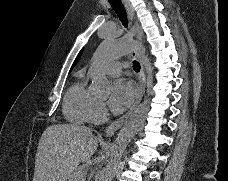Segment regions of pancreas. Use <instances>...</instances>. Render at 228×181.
Returning <instances> with one entry per match:
<instances>
[{"label":"pancreas","mask_w":228,"mask_h":181,"mask_svg":"<svg viewBox=\"0 0 228 181\" xmlns=\"http://www.w3.org/2000/svg\"><path fill=\"white\" fill-rule=\"evenodd\" d=\"M87 169H82V167H77L69 177V181H85V175Z\"/></svg>","instance_id":"1"}]
</instances>
